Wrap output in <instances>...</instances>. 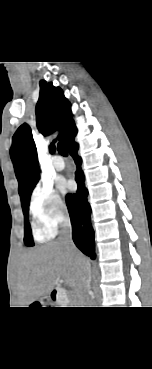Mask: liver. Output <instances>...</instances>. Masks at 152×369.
Returning <instances> with one entry per match:
<instances>
[{
	"label": "liver",
	"instance_id": "1",
	"mask_svg": "<svg viewBox=\"0 0 152 369\" xmlns=\"http://www.w3.org/2000/svg\"><path fill=\"white\" fill-rule=\"evenodd\" d=\"M89 260L76 250L69 253L59 241L35 248L22 257L17 290L22 305L50 295L60 280L81 287V265Z\"/></svg>",
	"mask_w": 152,
	"mask_h": 369
}]
</instances>
